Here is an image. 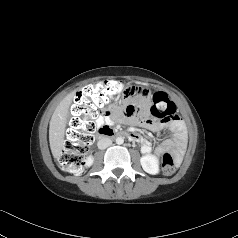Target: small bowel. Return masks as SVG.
<instances>
[{
    "instance_id": "1",
    "label": "small bowel",
    "mask_w": 238,
    "mask_h": 238,
    "mask_svg": "<svg viewBox=\"0 0 238 238\" xmlns=\"http://www.w3.org/2000/svg\"><path fill=\"white\" fill-rule=\"evenodd\" d=\"M135 96L140 101V104L137 107L139 112H137V109L134 105L125 103V106L122 109V114L125 117L124 121L132 125H139L156 133L162 131L167 126L172 135L170 138L165 139L155 149V154L160 156L165 152H173L177 157H180L186 147L187 142V133L184 123L179 118H175L168 123L157 122L150 119L147 116L148 101L146 92L142 89H137L135 91ZM113 115V110L102 111L96 116L95 119L97 127L101 128L111 125L113 123ZM136 135L139 138L137 142L141 144V151L144 154H149L152 151L151 143L141 135Z\"/></svg>"
}]
</instances>
